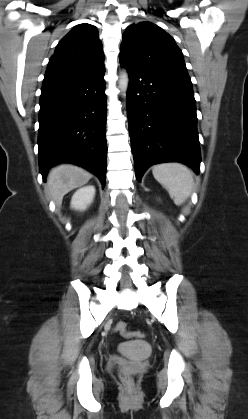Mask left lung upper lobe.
<instances>
[{
  "label": "left lung upper lobe",
  "instance_id": "obj_1",
  "mask_svg": "<svg viewBox=\"0 0 248 419\" xmlns=\"http://www.w3.org/2000/svg\"><path fill=\"white\" fill-rule=\"evenodd\" d=\"M120 60L142 70L191 84L182 51L168 33L153 23L139 22L126 29Z\"/></svg>",
  "mask_w": 248,
  "mask_h": 419
}]
</instances>
